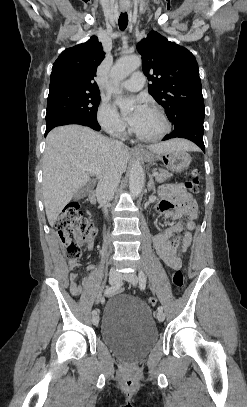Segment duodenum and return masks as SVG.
I'll return each instance as SVG.
<instances>
[{
  "label": "duodenum",
  "instance_id": "duodenum-1",
  "mask_svg": "<svg viewBox=\"0 0 247 407\" xmlns=\"http://www.w3.org/2000/svg\"><path fill=\"white\" fill-rule=\"evenodd\" d=\"M89 200L91 203L95 204V205H101V197L98 191L94 190L90 193L89 195Z\"/></svg>",
  "mask_w": 247,
  "mask_h": 407
}]
</instances>
